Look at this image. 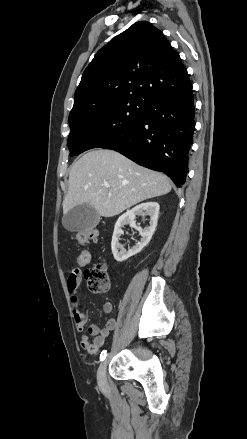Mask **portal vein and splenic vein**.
<instances>
[{"mask_svg":"<svg viewBox=\"0 0 247 439\" xmlns=\"http://www.w3.org/2000/svg\"><path fill=\"white\" fill-rule=\"evenodd\" d=\"M104 185H105V187H110V185L108 183H105Z\"/></svg>","mask_w":247,"mask_h":439,"instance_id":"obj_1","label":"portal vein and splenic vein"}]
</instances>
